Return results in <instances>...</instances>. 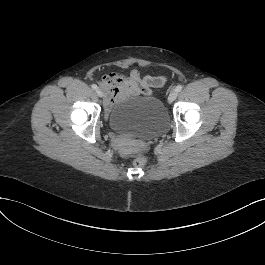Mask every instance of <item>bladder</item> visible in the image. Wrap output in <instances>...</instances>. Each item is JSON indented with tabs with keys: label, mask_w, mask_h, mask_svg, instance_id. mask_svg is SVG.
<instances>
[{
	"label": "bladder",
	"mask_w": 265,
	"mask_h": 265,
	"mask_svg": "<svg viewBox=\"0 0 265 265\" xmlns=\"http://www.w3.org/2000/svg\"><path fill=\"white\" fill-rule=\"evenodd\" d=\"M166 124V107L156 96L120 101L109 117L111 129L134 138L151 137L163 131Z\"/></svg>",
	"instance_id": "1"
}]
</instances>
